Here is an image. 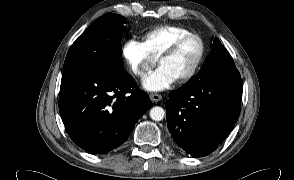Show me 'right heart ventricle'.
I'll use <instances>...</instances> for the list:
<instances>
[{
    "mask_svg": "<svg viewBox=\"0 0 294 180\" xmlns=\"http://www.w3.org/2000/svg\"><path fill=\"white\" fill-rule=\"evenodd\" d=\"M187 33L190 31L183 26L164 25L143 31L139 37L144 49L157 59L176 38Z\"/></svg>",
    "mask_w": 294,
    "mask_h": 180,
    "instance_id": "e07e8e85",
    "label": "right heart ventricle"
}]
</instances>
